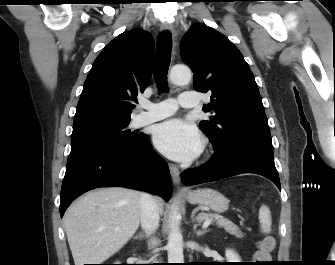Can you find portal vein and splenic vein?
I'll return each mask as SVG.
<instances>
[{"label": "portal vein and splenic vein", "instance_id": "1", "mask_svg": "<svg viewBox=\"0 0 335 265\" xmlns=\"http://www.w3.org/2000/svg\"><path fill=\"white\" fill-rule=\"evenodd\" d=\"M211 222H212V219H206L203 223V227L204 228L208 227L211 224Z\"/></svg>", "mask_w": 335, "mask_h": 265}]
</instances>
